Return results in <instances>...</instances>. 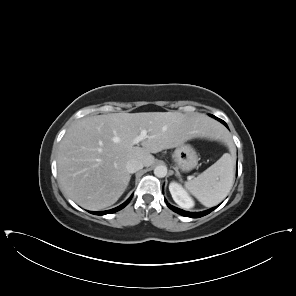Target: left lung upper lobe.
<instances>
[{"label":"left lung upper lobe","mask_w":296,"mask_h":296,"mask_svg":"<svg viewBox=\"0 0 296 296\" xmlns=\"http://www.w3.org/2000/svg\"><path fill=\"white\" fill-rule=\"evenodd\" d=\"M212 117H214V118H216L215 116H213V115H211ZM216 119H218V118H216Z\"/></svg>","instance_id":"obj_1"}]
</instances>
